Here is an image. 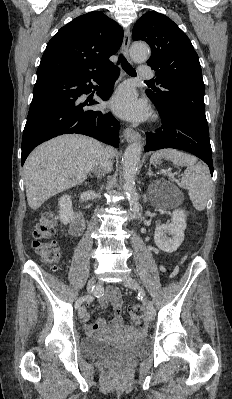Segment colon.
Wrapping results in <instances>:
<instances>
[{
	"label": "colon",
	"instance_id": "1",
	"mask_svg": "<svg viewBox=\"0 0 232 399\" xmlns=\"http://www.w3.org/2000/svg\"><path fill=\"white\" fill-rule=\"evenodd\" d=\"M62 220V214L58 210H52L47 216H42L38 220V224L29 234V241L33 244L34 249H38V253L45 257L48 267L52 271H57L61 267L60 244L51 243V233L59 222ZM200 225H191L187 229V234L191 238H196L200 234ZM133 324H148L147 313L143 308H134L132 313Z\"/></svg>",
	"mask_w": 232,
	"mask_h": 399
}]
</instances>
